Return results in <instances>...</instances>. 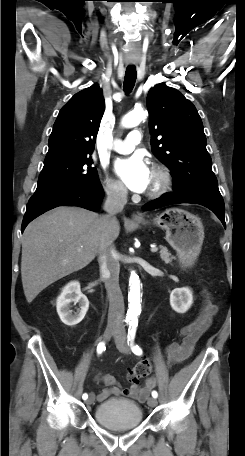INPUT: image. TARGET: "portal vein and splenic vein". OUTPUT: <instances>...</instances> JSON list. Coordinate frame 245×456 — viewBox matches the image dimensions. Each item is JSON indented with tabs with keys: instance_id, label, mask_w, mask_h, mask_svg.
<instances>
[{
	"instance_id": "18ae733b",
	"label": "portal vein and splenic vein",
	"mask_w": 245,
	"mask_h": 456,
	"mask_svg": "<svg viewBox=\"0 0 245 456\" xmlns=\"http://www.w3.org/2000/svg\"><path fill=\"white\" fill-rule=\"evenodd\" d=\"M157 251H158V248H157V247H152V248H151V252H152V253H155V252H157Z\"/></svg>"
}]
</instances>
